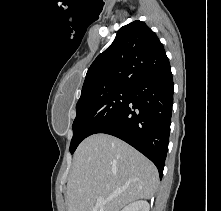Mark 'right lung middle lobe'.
I'll use <instances>...</instances> for the list:
<instances>
[{
  "instance_id": "1",
  "label": "right lung middle lobe",
  "mask_w": 221,
  "mask_h": 211,
  "mask_svg": "<svg viewBox=\"0 0 221 211\" xmlns=\"http://www.w3.org/2000/svg\"><path fill=\"white\" fill-rule=\"evenodd\" d=\"M130 95V88H121L79 100L76 105V118L73 122L71 154L86 137L95 134L113 119L126 105Z\"/></svg>"
}]
</instances>
